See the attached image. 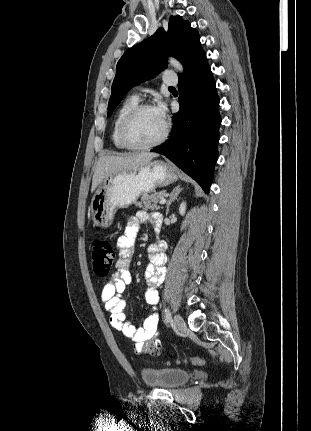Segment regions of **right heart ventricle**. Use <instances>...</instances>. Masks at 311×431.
<instances>
[{"mask_svg":"<svg viewBox=\"0 0 311 431\" xmlns=\"http://www.w3.org/2000/svg\"><path fill=\"white\" fill-rule=\"evenodd\" d=\"M139 104V97L136 94H129L126 96L121 104L119 105L114 121H113V127H112V133H111V139L114 147L117 150H128V147H126L121 139L120 136V126L122 123L123 118L127 115L128 112H130L135 106Z\"/></svg>","mask_w":311,"mask_h":431,"instance_id":"obj_1","label":"right heart ventricle"}]
</instances>
